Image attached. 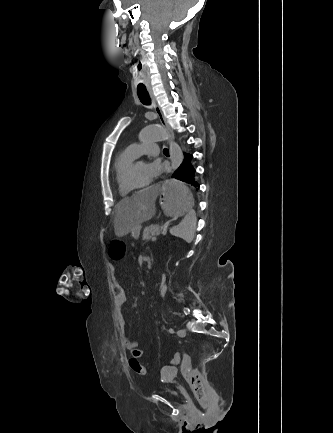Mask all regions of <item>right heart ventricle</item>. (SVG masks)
I'll return each instance as SVG.
<instances>
[{"instance_id":"right-heart-ventricle-1","label":"right heart ventricle","mask_w":333,"mask_h":433,"mask_svg":"<svg viewBox=\"0 0 333 433\" xmlns=\"http://www.w3.org/2000/svg\"><path fill=\"white\" fill-rule=\"evenodd\" d=\"M135 158L136 155L132 151H130L129 148H126L121 153H119L115 160L114 182L118 193L122 197H126L130 193V190L124 186L122 182V177L128 165L133 162Z\"/></svg>"}]
</instances>
